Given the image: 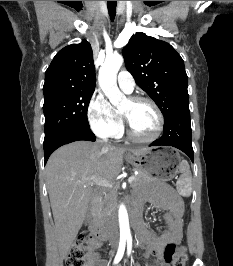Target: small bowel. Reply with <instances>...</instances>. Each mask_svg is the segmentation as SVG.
Returning a JSON list of instances; mask_svg holds the SVG:
<instances>
[{"label":"small bowel","mask_w":233,"mask_h":266,"mask_svg":"<svg viewBox=\"0 0 233 266\" xmlns=\"http://www.w3.org/2000/svg\"><path fill=\"white\" fill-rule=\"evenodd\" d=\"M149 200L164 210L165 229L161 235L149 230L139 218L136 222L138 239L136 245L146 249L145 257L153 256L158 266H166L163 261L164 248L171 243H178L182 237L183 229V202L174 191L163 186L155 194L143 200ZM103 241L91 238L88 245L86 266H108L107 260L101 259L97 250Z\"/></svg>","instance_id":"obj_1"}]
</instances>
